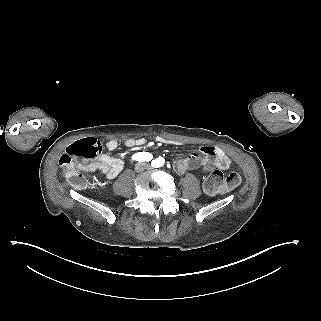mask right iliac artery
Returning a JSON list of instances; mask_svg holds the SVG:
<instances>
[{"label": "right iliac artery", "mask_w": 321, "mask_h": 321, "mask_svg": "<svg viewBox=\"0 0 321 321\" xmlns=\"http://www.w3.org/2000/svg\"><path fill=\"white\" fill-rule=\"evenodd\" d=\"M132 159L138 162L150 161L152 159V155L149 152H139L134 154Z\"/></svg>", "instance_id": "1"}]
</instances>
